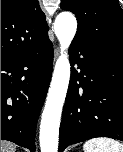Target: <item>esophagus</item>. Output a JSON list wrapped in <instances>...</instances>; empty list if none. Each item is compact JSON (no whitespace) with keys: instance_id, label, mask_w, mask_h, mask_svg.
<instances>
[{"instance_id":"34e87169","label":"esophagus","mask_w":123,"mask_h":152,"mask_svg":"<svg viewBox=\"0 0 123 152\" xmlns=\"http://www.w3.org/2000/svg\"><path fill=\"white\" fill-rule=\"evenodd\" d=\"M58 55H59V48L56 47L55 48V59L58 57Z\"/></svg>"}]
</instances>
